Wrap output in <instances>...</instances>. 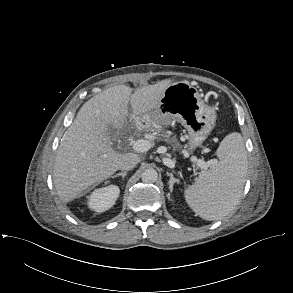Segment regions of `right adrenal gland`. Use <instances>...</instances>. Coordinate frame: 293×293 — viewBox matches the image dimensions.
<instances>
[{"label":"right adrenal gland","mask_w":293,"mask_h":293,"mask_svg":"<svg viewBox=\"0 0 293 293\" xmlns=\"http://www.w3.org/2000/svg\"><path fill=\"white\" fill-rule=\"evenodd\" d=\"M126 175H127V172H121V173H118V174L114 175L112 178H116V177L121 176V177L124 179V177H125Z\"/></svg>","instance_id":"obj_1"}]
</instances>
